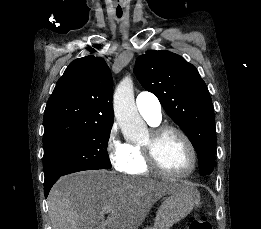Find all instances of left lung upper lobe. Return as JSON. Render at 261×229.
Segmentation results:
<instances>
[{
	"mask_svg": "<svg viewBox=\"0 0 261 229\" xmlns=\"http://www.w3.org/2000/svg\"><path fill=\"white\" fill-rule=\"evenodd\" d=\"M134 73L190 139L200 174H211L216 151L214 109L197 69L175 53L152 50L137 58Z\"/></svg>",
	"mask_w": 261,
	"mask_h": 229,
	"instance_id": "1",
	"label": "left lung upper lobe"
}]
</instances>
